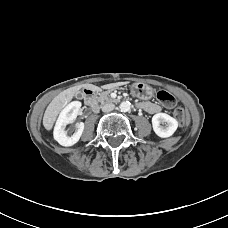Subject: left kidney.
<instances>
[{
  "label": "left kidney",
  "mask_w": 228,
  "mask_h": 228,
  "mask_svg": "<svg viewBox=\"0 0 228 228\" xmlns=\"http://www.w3.org/2000/svg\"><path fill=\"white\" fill-rule=\"evenodd\" d=\"M152 126L157 136L167 138L174 134L178 127V122L166 113H157L152 117Z\"/></svg>",
  "instance_id": "obj_1"
}]
</instances>
